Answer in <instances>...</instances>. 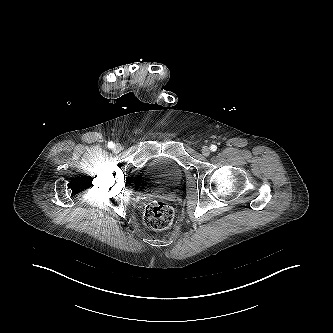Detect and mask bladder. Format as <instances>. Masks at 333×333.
<instances>
[{
  "label": "bladder",
  "instance_id": "bladder-1",
  "mask_svg": "<svg viewBox=\"0 0 333 333\" xmlns=\"http://www.w3.org/2000/svg\"><path fill=\"white\" fill-rule=\"evenodd\" d=\"M140 180L149 187L171 188L183 177V168L178 160L170 155L148 159L139 170Z\"/></svg>",
  "mask_w": 333,
  "mask_h": 333
}]
</instances>
